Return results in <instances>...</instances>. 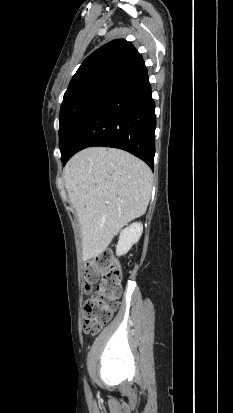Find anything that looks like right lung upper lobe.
Returning <instances> with one entry per match:
<instances>
[{
  "instance_id": "1",
  "label": "right lung upper lobe",
  "mask_w": 233,
  "mask_h": 413,
  "mask_svg": "<svg viewBox=\"0 0 233 413\" xmlns=\"http://www.w3.org/2000/svg\"><path fill=\"white\" fill-rule=\"evenodd\" d=\"M142 56L124 39L113 40L89 55L71 79L65 95L79 86L103 77L118 78L139 62Z\"/></svg>"
}]
</instances>
